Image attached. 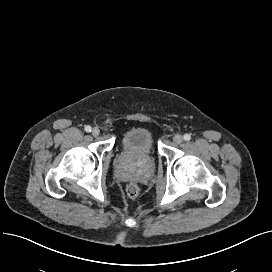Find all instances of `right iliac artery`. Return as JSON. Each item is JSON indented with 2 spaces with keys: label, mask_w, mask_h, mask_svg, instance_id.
I'll list each match as a JSON object with an SVG mask.
<instances>
[{
  "label": "right iliac artery",
  "mask_w": 272,
  "mask_h": 272,
  "mask_svg": "<svg viewBox=\"0 0 272 272\" xmlns=\"http://www.w3.org/2000/svg\"><path fill=\"white\" fill-rule=\"evenodd\" d=\"M85 131H86V132H91V127H90V126H86V127H85Z\"/></svg>",
  "instance_id": "obj_1"
}]
</instances>
